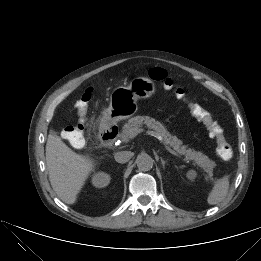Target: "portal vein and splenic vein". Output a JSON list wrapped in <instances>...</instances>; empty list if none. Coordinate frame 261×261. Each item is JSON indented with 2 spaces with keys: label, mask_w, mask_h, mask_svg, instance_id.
Listing matches in <instances>:
<instances>
[{
  "label": "portal vein and splenic vein",
  "mask_w": 261,
  "mask_h": 261,
  "mask_svg": "<svg viewBox=\"0 0 261 261\" xmlns=\"http://www.w3.org/2000/svg\"><path fill=\"white\" fill-rule=\"evenodd\" d=\"M143 131H144V130L141 129V128H133V129H131V130L129 131L128 137L132 139V138L136 137L139 133H141V132H143ZM149 134H151L152 136H154V137H156L158 140H160L161 143L164 145L165 149H166L169 153H171L172 155H174V156H176V157H178V158H180V159H183V160L185 161V159H184L180 154H178L177 152H175L174 150H172L170 147H168L167 145H165V144L162 142V139H161L160 136L156 135L155 133H150V132H149Z\"/></svg>",
  "instance_id": "18ae733b"
}]
</instances>
